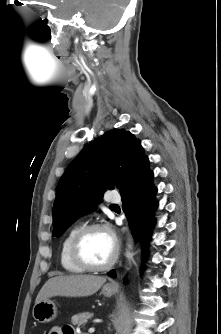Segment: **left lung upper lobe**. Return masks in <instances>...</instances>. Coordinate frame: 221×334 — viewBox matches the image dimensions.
<instances>
[{
	"label": "left lung upper lobe",
	"instance_id": "left-lung-upper-lobe-1",
	"mask_svg": "<svg viewBox=\"0 0 221 334\" xmlns=\"http://www.w3.org/2000/svg\"><path fill=\"white\" fill-rule=\"evenodd\" d=\"M148 163L141 142L129 131H109L92 141L59 180L52 235L60 237L78 217L94 210L116 177L123 192Z\"/></svg>",
	"mask_w": 221,
	"mask_h": 334
}]
</instances>
